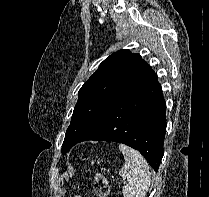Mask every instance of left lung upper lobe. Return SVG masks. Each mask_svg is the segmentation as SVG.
Returning <instances> with one entry per match:
<instances>
[{
	"instance_id": "1",
	"label": "left lung upper lobe",
	"mask_w": 209,
	"mask_h": 197,
	"mask_svg": "<svg viewBox=\"0 0 209 197\" xmlns=\"http://www.w3.org/2000/svg\"><path fill=\"white\" fill-rule=\"evenodd\" d=\"M150 71L151 67L140 54H133L128 49L119 50L105 59L79 90L62 154L78 143L118 97Z\"/></svg>"
}]
</instances>
